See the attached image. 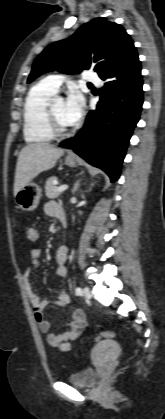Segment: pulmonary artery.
Listing matches in <instances>:
<instances>
[{"label":"pulmonary artery","mask_w":165,"mask_h":419,"mask_svg":"<svg viewBox=\"0 0 165 419\" xmlns=\"http://www.w3.org/2000/svg\"><path fill=\"white\" fill-rule=\"evenodd\" d=\"M83 80L89 83L100 84L101 80L96 73H93L91 70L87 71L83 77ZM63 82V77L59 74L49 75L42 80V83L51 91L57 92L59 87Z\"/></svg>","instance_id":"obj_1"}]
</instances>
